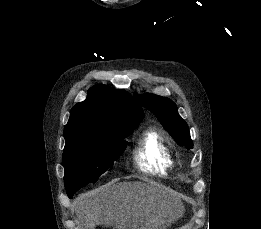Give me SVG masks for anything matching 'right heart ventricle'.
<instances>
[{
	"label": "right heart ventricle",
	"mask_w": 261,
	"mask_h": 229,
	"mask_svg": "<svg viewBox=\"0 0 261 229\" xmlns=\"http://www.w3.org/2000/svg\"><path fill=\"white\" fill-rule=\"evenodd\" d=\"M132 156L135 165L142 170L164 172L174 165L169 141L153 127L146 129L137 139Z\"/></svg>",
	"instance_id": "1"
}]
</instances>
